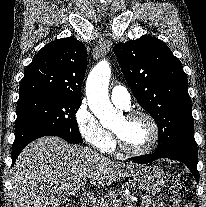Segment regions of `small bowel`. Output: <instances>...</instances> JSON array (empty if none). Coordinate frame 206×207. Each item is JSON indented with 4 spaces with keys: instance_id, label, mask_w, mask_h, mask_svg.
Listing matches in <instances>:
<instances>
[{
    "instance_id": "obj_1",
    "label": "small bowel",
    "mask_w": 206,
    "mask_h": 207,
    "mask_svg": "<svg viewBox=\"0 0 206 207\" xmlns=\"http://www.w3.org/2000/svg\"><path fill=\"white\" fill-rule=\"evenodd\" d=\"M139 207H163V204L160 201L146 198Z\"/></svg>"
}]
</instances>
